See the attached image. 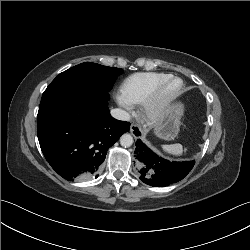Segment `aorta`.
Here are the masks:
<instances>
[{"label": "aorta", "instance_id": "obj_1", "mask_svg": "<svg viewBox=\"0 0 250 250\" xmlns=\"http://www.w3.org/2000/svg\"><path fill=\"white\" fill-rule=\"evenodd\" d=\"M120 144L123 147H130L133 144V137L130 134H123L120 138Z\"/></svg>", "mask_w": 250, "mask_h": 250}]
</instances>
